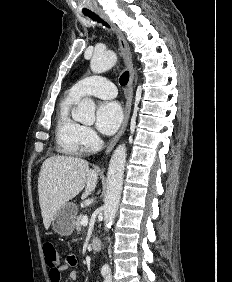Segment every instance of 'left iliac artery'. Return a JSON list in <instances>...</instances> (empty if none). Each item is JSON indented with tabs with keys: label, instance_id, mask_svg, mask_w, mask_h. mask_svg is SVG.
<instances>
[{
	"label": "left iliac artery",
	"instance_id": "left-iliac-artery-1",
	"mask_svg": "<svg viewBox=\"0 0 232 282\" xmlns=\"http://www.w3.org/2000/svg\"><path fill=\"white\" fill-rule=\"evenodd\" d=\"M104 282H111V276L110 275L106 276Z\"/></svg>",
	"mask_w": 232,
	"mask_h": 282
}]
</instances>
